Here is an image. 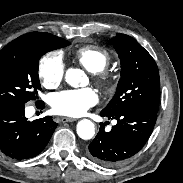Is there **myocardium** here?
Here are the masks:
<instances>
[{"label":"myocardium","mask_w":183,"mask_h":183,"mask_svg":"<svg viewBox=\"0 0 183 183\" xmlns=\"http://www.w3.org/2000/svg\"><path fill=\"white\" fill-rule=\"evenodd\" d=\"M97 79H98L99 82H101L103 84H107L108 81H109V77L106 73L99 74Z\"/></svg>","instance_id":"f54148a6"}]
</instances>
